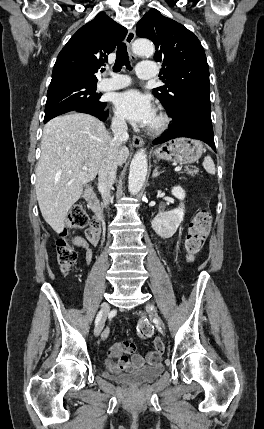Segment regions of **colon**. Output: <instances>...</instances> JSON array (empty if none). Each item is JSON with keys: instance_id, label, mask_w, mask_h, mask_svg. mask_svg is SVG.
I'll return each instance as SVG.
<instances>
[{"instance_id": "obj_1", "label": "colon", "mask_w": 264, "mask_h": 429, "mask_svg": "<svg viewBox=\"0 0 264 429\" xmlns=\"http://www.w3.org/2000/svg\"><path fill=\"white\" fill-rule=\"evenodd\" d=\"M88 223V215L81 205L73 206L66 216L65 228L59 233V238L56 242L57 261L61 270L66 274L72 270L77 260L76 251L66 238L71 230L84 228ZM210 225L211 214L208 210H200L193 217L189 224L185 241V249L190 260L201 251ZM153 329L150 321L142 320L137 325V334L140 338L147 339L152 336ZM154 345L159 350L164 349L161 339H156Z\"/></svg>"}]
</instances>
